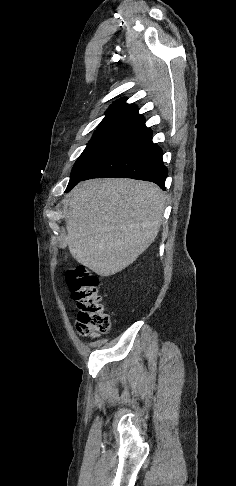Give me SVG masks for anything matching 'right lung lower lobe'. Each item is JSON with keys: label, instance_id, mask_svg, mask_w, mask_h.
<instances>
[{"label": "right lung lower lobe", "instance_id": "1", "mask_svg": "<svg viewBox=\"0 0 236 486\" xmlns=\"http://www.w3.org/2000/svg\"><path fill=\"white\" fill-rule=\"evenodd\" d=\"M167 175L162 149L152 142V130L143 123L140 131L129 142L91 170L83 180L132 178L154 182L165 190Z\"/></svg>", "mask_w": 236, "mask_h": 486}]
</instances>
